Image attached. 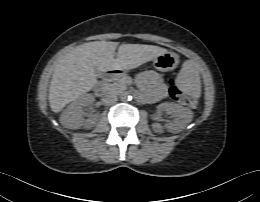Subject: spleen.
Instances as JSON below:
<instances>
[{
	"label": "spleen",
	"mask_w": 260,
	"mask_h": 202,
	"mask_svg": "<svg viewBox=\"0 0 260 202\" xmlns=\"http://www.w3.org/2000/svg\"><path fill=\"white\" fill-rule=\"evenodd\" d=\"M178 79L181 83V88L189 95L198 96L200 94V78L197 71L190 63L183 65Z\"/></svg>",
	"instance_id": "obj_1"
}]
</instances>
